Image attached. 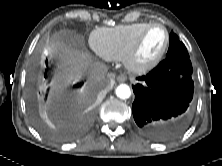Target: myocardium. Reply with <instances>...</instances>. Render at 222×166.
Returning a JSON list of instances; mask_svg holds the SVG:
<instances>
[{
  "label": "myocardium",
  "mask_w": 222,
  "mask_h": 166,
  "mask_svg": "<svg viewBox=\"0 0 222 166\" xmlns=\"http://www.w3.org/2000/svg\"><path fill=\"white\" fill-rule=\"evenodd\" d=\"M156 27L162 28L165 33V42L162 49L150 61L144 62V63L138 62L136 56H137L138 49L140 47V44L144 36L150 29L156 28ZM169 43H170V34L166 26L161 23H149L138 33V35L136 36V38L134 39V41L128 48L124 56L125 66L127 67L128 70L134 73H144V72L150 71L161 62L162 58L164 57L168 49Z\"/></svg>",
  "instance_id": "f54148a6"
}]
</instances>
